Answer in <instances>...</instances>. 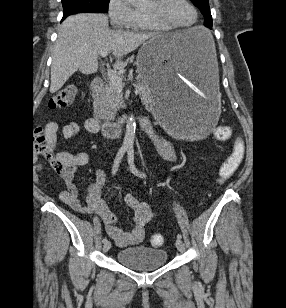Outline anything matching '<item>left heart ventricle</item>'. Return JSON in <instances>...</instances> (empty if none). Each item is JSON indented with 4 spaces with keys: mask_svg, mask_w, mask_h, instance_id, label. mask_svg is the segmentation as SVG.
<instances>
[{
    "mask_svg": "<svg viewBox=\"0 0 286 308\" xmlns=\"http://www.w3.org/2000/svg\"><path fill=\"white\" fill-rule=\"evenodd\" d=\"M145 12L161 14L173 24L187 25L194 21L195 14L184 0H166L162 5H157L152 0L145 8Z\"/></svg>",
    "mask_w": 286,
    "mask_h": 308,
    "instance_id": "obj_1",
    "label": "left heart ventricle"
}]
</instances>
